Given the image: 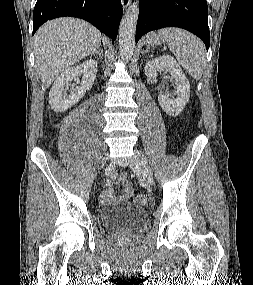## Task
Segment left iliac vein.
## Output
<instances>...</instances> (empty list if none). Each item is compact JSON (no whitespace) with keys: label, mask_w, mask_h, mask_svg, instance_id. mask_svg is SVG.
<instances>
[{"label":"left iliac vein","mask_w":253,"mask_h":285,"mask_svg":"<svg viewBox=\"0 0 253 285\" xmlns=\"http://www.w3.org/2000/svg\"><path fill=\"white\" fill-rule=\"evenodd\" d=\"M130 167L135 173L141 175L148 184L151 185L153 183L151 168L145 156L139 150H135V155L131 160Z\"/></svg>","instance_id":"1"}]
</instances>
